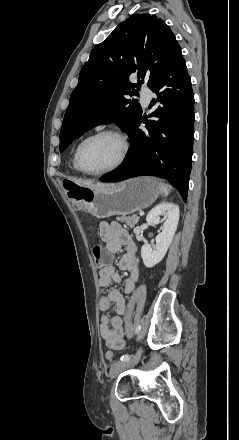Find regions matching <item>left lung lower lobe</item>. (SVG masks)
<instances>
[{
    "label": "left lung lower lobe",
    "mask_w": 239,
    "mask_h": 440,
    "mask_svg": "<svg viewBox=\"0 0 239 440\" xmlns=\"http://www.w3.org/2000/svg\"><path fill=\"white\" fill-rule=\"evenodd\" d=\"M157 94L150 108L161 103L143 121L147 131L138 129L142 115L127 132L131 148L123 166L102 177V182H118L131 177L151 175L175 181L186 201L194 141V94L179 44H175L160 74L149 85Z\"/></svg>",
    "instance_id": "1"
}]
</instances>
